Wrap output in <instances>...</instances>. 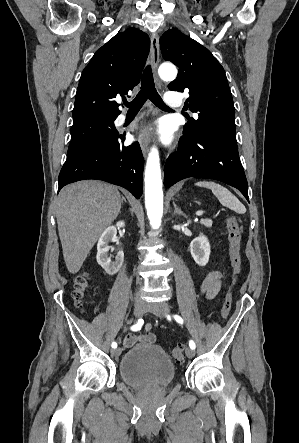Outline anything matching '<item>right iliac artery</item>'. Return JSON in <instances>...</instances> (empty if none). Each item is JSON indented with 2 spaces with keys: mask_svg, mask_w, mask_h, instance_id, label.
I'll use <instances>...</instances> for the list:
<instances>
[{
  "mask_svg": "<svg viewBox=\"0 0 299 443\" xmlns=\"http://www.w3.org/2000/svg\"><path fill=\"white\" fill-rule=\"evenodd\" d=\"M143 324H144V321H143L142 318H140V319H138L137 323L131 327V330L132 331H138V330L141 329ZM111 346H112V348L115 349L117 347V343L116 342H112Z\"/></svg>",
  "mask_w": 299,
  "mask_h": 443,
  "instance_id": "right-iliac-artery-1",
  "label": "right iliac artery"
}]
</instances>
